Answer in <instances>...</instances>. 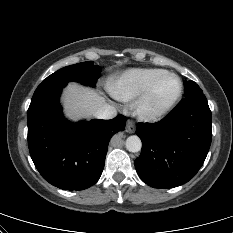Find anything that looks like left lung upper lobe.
<instances>
[{"instance_id": "1", "label": "left lung upper lobe", "mask_w": 233, "mask_h": 233, "mask_svg": "<svg viewBox=\"0 0 233 233\" xmlns=\"http://www.w3.org/2000/svg\"><path fill=\"white\" fill-rule=\"evenodd\" d=\"M185 97L203 94V91L194 81L184 82Z\"/></svg>"}]
</instances>
